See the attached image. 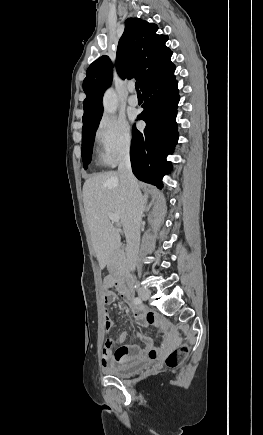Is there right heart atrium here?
Returning <instances> with one entry per match:
<instances>
[{
    "mask_svg": "<svg viewBox=\"0 0 263 435\" xmlns=\"http://www.w3.org/2000/svg\"><path fill=\"white\" fill-rule=\"evenodd\" d=\"M132 140L131 129L125 119L109 115L101 118L95 132V141L104 164L115 165L127 156Z\"/></svg>",
    "mask_w": 263,
    "mask_h": 435,
    "instance_id": "right-heart-atrium-1",
    "label": "right heart atrium"
}]
</instances>
